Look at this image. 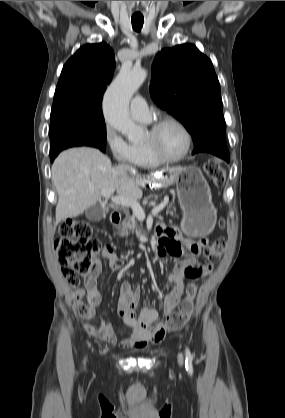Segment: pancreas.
Returning a JSON list of instances; mask_svg holds the SVG:
<instances>
[{
    "label": "pancreas",
    "mask_w": 285,
    "mask_h": 418,
    "mask_svg": "<svg viewBox=\"0 0 285 418\" xmlns=\"http://www.w3.org/2000/svg\"><path fill=\"white\" fill-rule=\"evenodd\" d=\"M169 209L176 210L175 206L171 203L168 205ZM136 216L126 214L125 219L122 221L121 225L118 227V234L121 237H128L130 234L136 233L137 236H140L143 232L142 225H138L136 221Z\"/></svg>",
    "instance_id": "cf45deb5"
}]
</instances>
